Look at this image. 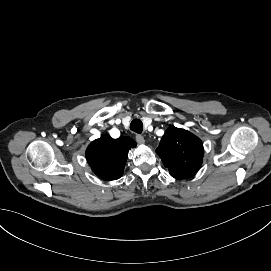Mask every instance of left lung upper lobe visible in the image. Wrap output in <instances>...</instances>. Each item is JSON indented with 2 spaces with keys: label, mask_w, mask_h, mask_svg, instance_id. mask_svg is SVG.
Here are the masks:
<instances>
[{
  "label": "left lung upper lobe",
  "mask_w": 271,
  "mask_h": 271,
  "mask_svg": "<svg viewBox=\"0 0 271 271\" xmlns=\"http://www.w3.org/2000/svg\"><path fill=\"white\" fill-rule=\"evenodd\" d=\"M156 153L172 177L185 179L199 170L204 151L198 137L172 125L165 131Z\"/></svg>",
  "instance_id": "1"
}]
</instances>
